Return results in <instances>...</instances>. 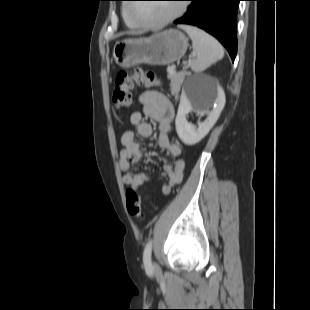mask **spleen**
Masks as SVG:
<instances>
[{
  "instance_id": "3e777b00",
  "label": "spleen",
  "mask_w": 310,
  "mask_h": 310,
  "mask_svg": "<svg viewBox=\"0 0 310 310\" xmlns=\"http://www.w3.org/2000/svg\"><path fill=\"white\" fill-rule=\"evenodd\" d=\"M180 28L186 31L192 40L193 51L196 56L190 62L193 71L202 72L223 58L224 49L214 37L194 26L181 25Z\"/></svg>"
}]
</instances>
